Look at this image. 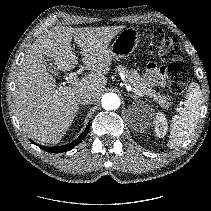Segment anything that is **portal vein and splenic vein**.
Listing matches in <instances>:
<instances>
[{
    "mask_svg": "<svg viewBox=\"0 0 211 211\" xmlns=\"http://www.w3.org/2000/svg\"><path fill=\"white\" fill-rule=\"evenodd\" d=\"M83 71H84V67L81 66L79 70H77L75 72H71L69 74V77H68L67 81L70 82V83H73V82L77 81L78 75L82 74ZM128 90L134 92L136 95H140V96L142 95V93L136 88L128 87Z\"/></svg>",
    "mask_w": 211,
    "mask_h": 211,
    "instance_id": "obj_1",
    "label": "portal vein and splenic vein"
}]
</instances>
